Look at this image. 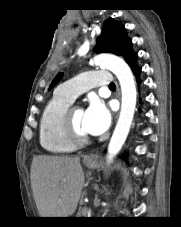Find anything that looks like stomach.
I'll use <instances>...</instances> for the list:
<instances>
[{"instance_id": "obj_1", "label": "stomach", "mask_w": 181, "mask_h": 227, "mask_svg": "<svg viewBox=\"0 0 181 227\" xmlns=\"http://www.w3.org/2000/svg\"><path fill=\"white\" fill-rule=\"evenodd\" d=\"M84 164L86 165L87 168L89 169H95L98 166V162L96 159H86L84 161Z\"/></svg>"}]
</instances>
